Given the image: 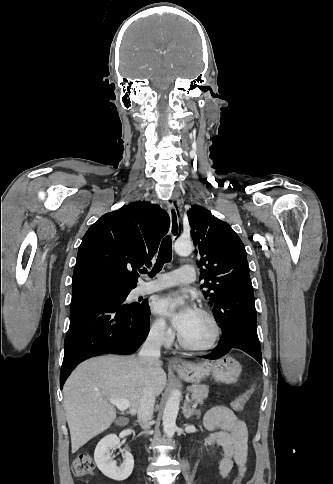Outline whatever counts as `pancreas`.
<instances>
[{
  "mask_svg": "<svg viewBox=\"0 0 333 484\" xmlns=\"http://www.w3.org/2000/svg\"><path fill=\"white\" fill-rule=\"evenodd\" d=\"M191 393L193 401L202 404L204 399L208 397L209 387L207 385H192L187 388Z\"/></svg>",
  "mask_w": 333,
  "mask_h": 484,
  "instance_id": "cf45deb5",
  "label": "pancreas"
}]
</instances>
